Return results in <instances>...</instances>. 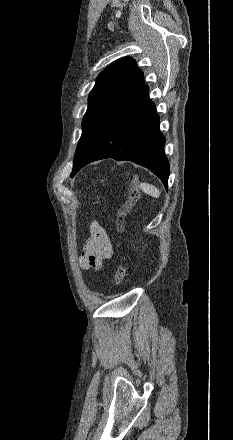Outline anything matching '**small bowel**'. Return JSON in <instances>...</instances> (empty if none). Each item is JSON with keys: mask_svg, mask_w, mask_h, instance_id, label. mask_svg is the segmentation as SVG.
Returning <instances> with one entry per match:
<instances>
[{"mask_svg": "<svg viewBox=\"0 0 233 440\" xmlns=\"http://www.w3.org/2000/svg\"><path fill=\"white\" fill-rule=\"evenodd\" d=\"M113 255V246L110 237L98 222L90 226V236L84 243L79 264L83 269H100L105 260Z\"/></svg>", "mask_w": 233, "mask_h": 440, "instance_id": "1", "label": "small bowel"}]
</instances>
